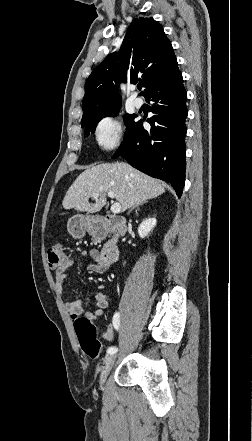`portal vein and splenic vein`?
I'll return each instance as SVG.
<instances>
[{"label":"portal vein and splenic vein","instance_id":"1","mask_svg":"<svg viewBox=\"0 0 252 441\" xmlns=\"http://www.w3.org/2000/svg\"><path fill=\"white\" fill-rule=\"evenodd\" d=\"M107 195H108V197H110V198H114V197H115V195H114L113 192H108ZM98 196H99V194H97V193H94V194L92 195V197H93L94 199L98 198ZM120 211H121V205H120L119 203H114V204H112V206H111V212H112V213L117 214V213H119Z\"/></svg>","mask_w":252,"mask_h":441}]
</instances>
